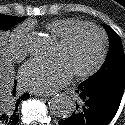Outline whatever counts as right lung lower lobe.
<instances>
[{
  "label": "right lung lower lobe",
  "mask_w": 125,
  "mask_h": 125,
  "mask_svg": "<svg viewBox=\"0 0 125 125\" xmlns=\"http://www.w3.org/2000/svg\"><path fill=\"white\" fill-rule=\"evenodd\" d=\"M15 92L16 86L12 92L14 96L13 103L5 107H0V125H17L19 120L18 105L21 100L27 99L30 96L29 93H24L21 97L17 98Z\"/></svg>",
  "instance_id": "98d812e1"
}]
</instances>
